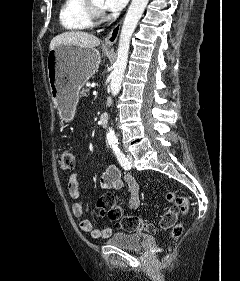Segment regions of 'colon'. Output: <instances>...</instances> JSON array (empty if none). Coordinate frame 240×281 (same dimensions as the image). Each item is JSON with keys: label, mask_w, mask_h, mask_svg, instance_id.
<instances>
[{"label": "colon", "mask_w": 240, "mask_h": 281, "mask_svg": "<svg viewBox=\"0 0 240 281\" xmlns=\"http://www.w3.org/2000/svg\"><path fill=\"white\" fill-rule=\"evenodd\" d=\"M59 169L63 171H72L76 166V158L73 151L64 148L60 151L57 159ZM165 201L171 203V207L165 212L160 221V227L167 229L172 227L171 236L173 239L180 237L183 231V224L177 223L179 215H187L190 208L189 200L186 197L178 195L174 191L163 193ZM97 209L113 220L118 221L119 225L126 231H144L148 233L155 232L156 227L137 216L124 215L122 209L116 205L113 197L109 195L101 196L96 202ZM166 261V257L162 262Z\"/></svg>", "instance_id": "1"}]
</instances>
